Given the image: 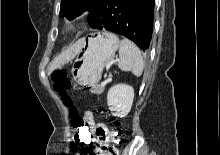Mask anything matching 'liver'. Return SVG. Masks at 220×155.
Returning a JSON list of instances; mask_svg holds the SVG:
<instances>
[{
    "label": "liver",
    "mask_w": 220,
    "mask_h": 155,
    "mask_svg": "<svg viewBox=\"0 0 220 155\" xmlns=\"http://www.w3.org/2000/svg\"><path fill=\"white\" fill-rule=\"evenodd\" d=\"M82 46V41L80 40L75 45L70 47L69 49L62 52L57 58L53 60V62L49 66V73L53 72L56 68L61 67L62 65L68 63L72 59L76 57L79 53Z\"/></svg>",
    "instance_id": "6515ba94"
}]
</instances>
